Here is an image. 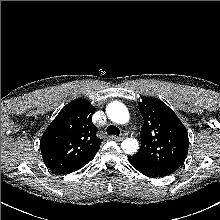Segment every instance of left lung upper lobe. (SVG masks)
Segmentation results:
<instances>
[{
  "instance_id": "left-lung-upper-lobe-1",
  "label": "left lung upper lobe",
  "mask_w": 220,
  "mask_h": 220,
  "mask_svg": "<svg viewBox=\"0 0 220 220\" xmlns=\"http://www.w3.org/2000/svg\"><path fill=\"white\" fill-rule=\"evenodd\" d=\"M144 119L141 147L135 156L172 174L185 161L189 139L185 126L162 101L147 98L138 103Z\"/></svg>"
}]
</instances>
